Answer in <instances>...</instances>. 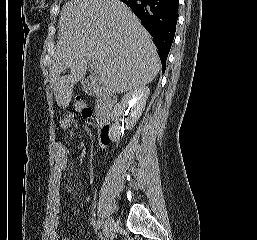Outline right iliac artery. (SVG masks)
<instances>
[{"label": "right iliac artery", "mask_w": 257, "mask_h": 240, "mask_svg": "<svg viewBox=\"0 0 257 240\" xmlns=\"http://www.w3.org/2000/svg\"><path fill=\"white\" fill-rule=\"evenodd\" d=\"M101 226H102V221H101V219H98L96 221V230H99L101 228Z\"/></svg>", "instance_id": "82829eb1"}]
</instances>
